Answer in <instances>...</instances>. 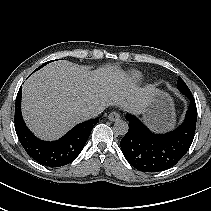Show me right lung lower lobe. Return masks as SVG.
<instances>
[{"mask_svg":"<svg viewBox=\"0 0 211 211\" xmlns=\"http://www.w3.org/2000/svg\"><path fill=\"white\" fill-rule=\"evenodd\" d=\"M22 86L15 103V130L18 139L27 154L38 163L48 167H60L69 164L82 151L93 126L99 122L98 118L77 124L67 134L56 141L38 139L27 128L21 114Z\"/></svg>","mask_w":211,"mask_h":211,"instance_id":"right-lung-lower-lobe-1","label":"right lung lower lobe"}]
</instances>
